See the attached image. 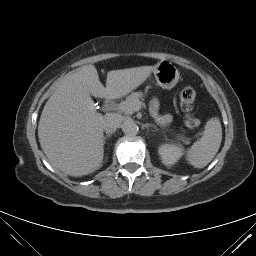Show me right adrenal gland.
<instances>
[{"label":"right adrenal gland","instance_id":"2a0ac1e0","mask_svg":"<svg viewBox=\"0 0 256 256\" xmlns=\"http://www.w3.org/2000/svg\"><path fill=\"white\" fill-rule=\"evenodd\" d=\"M111 135H112L111 133H107V134L105 135V137H104V142H105V139L111 137Z\"/></svg>","mask_w":256,"mask_h":256}]
</instances>
